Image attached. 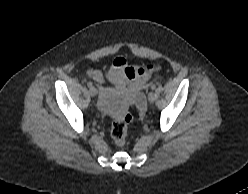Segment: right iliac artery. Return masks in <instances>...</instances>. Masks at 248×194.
<instances>
[{
  "label": "right iliac artery",
  "mask_w": 248,
  "mask_h": 194,
  "mask_svg": "<svg viewBox=\"0 0 248 194\" xmlns=\"http://www.w3.org/2000/svg\"><path fill=\"white\" fill-rule=\"evenodd\" d=\"M87 86H88L89 88H91V87L93 86L92 82H88V83H87Z\"/></svg>",
  "instance_id": "82829eb1"
}]
</instances>
